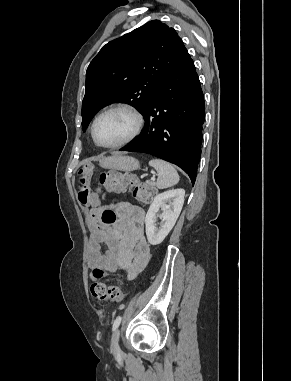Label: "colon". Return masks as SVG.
<instances>
[{"mask_svg":"<svg viewBox=\"0 0 291 381\" xmlns=\"http://www.w3.org/2000/svg\"><path fill=\"white\" fill-rule=\"evenodd\" d=\"M80 179L83 187L80 190V198L84 203H94L97 200V193L92 192L86 185L85 170L79 171ZM100 184L107 190L120 192L126 189L131 191L133 198L142 203H151L155 197L156 191L153 186L137 181L123 173H103L100 176ZM102 222L109 226L112 230L116 222V214L112 210H105L101 216ZM93 276L96 281L91 286V294L100 301L110 300L119 302L122 299V293L117 286H108L101 281L107 276L105 269L97 267L93 270Z\"/></svg>","mask_w":291,"mask_h":381,"instance_id":"colon-1","label":"colon"}]
</instances>
